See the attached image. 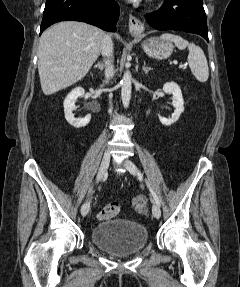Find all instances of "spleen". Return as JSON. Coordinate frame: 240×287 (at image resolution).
<instances>
[{
	"label": "spleen",
	"instance_id": "3e777b00",
	"mask_svg": "<svg viewBox=\"0 0 240 287\" xmlns=\"http://www.w3.org/2000/svg\"><path fill=\"white\" fill-rule=\"evenodd\" d=\"M163 40H170L175 43L178 49H188V63L192 74L200 82H206L209 77V68L207 59L203 50L195 45L194 43H189L186 39L179 35L165 33L161 36Z\"/></svg>",
	"mask_w": 240,
	"mask_h": 287
}]
</instances>
